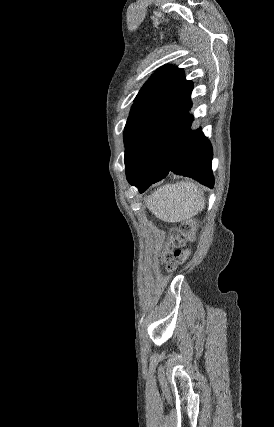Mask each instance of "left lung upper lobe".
I'll list each match as a JSON object with an SVG mask.
<instances>
[{
  "label": "left lung upper lobe",
  "mask_w": 274,
  "mask_h": 427,
  "mask_svg": "<svg viewBox=\"0 0 274 427\" xmlns=\"http://www.w3.org/2000/svg\"><path fill=\"white\" fill-rule=\"evenodd\" d=\"M183 70L165 66L157 70L134 100L124 130L126 174L133 167L145 135L152 125L190 86Z\"/></svg>",
  "instance_id": "obj_1"
}]
</instances>
